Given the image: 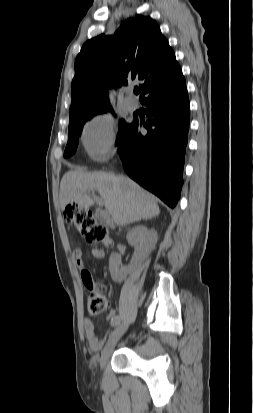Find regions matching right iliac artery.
Returning a JSON list of instances; mask_svg holds the SVG:
<instances>
[{
	"label": "right iliac artery",
	"instance_id": "right-iliac-artery-1",
	"mask_svg": "<svg viewBox=\"0 0 253 413\" xmlns=\"http://www.w3.org/2000/svg\"><path fill=\"white\" fill-rule=\"evenodd\" d=\"M119 324H120V318L117 317L114 324H113V326H118Z\"/></svg>",
	"mask_w": 253,
	"mask_h": 413
}]
</instances>
